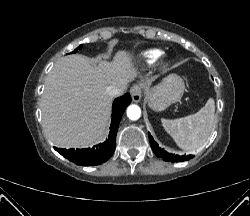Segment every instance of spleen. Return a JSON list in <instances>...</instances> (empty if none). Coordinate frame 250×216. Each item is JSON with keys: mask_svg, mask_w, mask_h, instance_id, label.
I'll use <instances>...</instances> for the list:
<instances>
[{"mask_svg": "<svg viewBox=\"0 0 250 216\" xmlns=\"http://www.w3.org/2000/svg\"><path fill=\"white\" fill-rule=\"evenodd\" d=\"M215 102L208 99L197 113L179 119H162L166 132L185 151H197L208 141L214 127Z\"/></svg>", "mask_w": 250, "mask_h": 216, "instance_id": "spleen-1", "label": "spleen"}]
</instances>
